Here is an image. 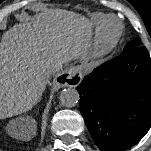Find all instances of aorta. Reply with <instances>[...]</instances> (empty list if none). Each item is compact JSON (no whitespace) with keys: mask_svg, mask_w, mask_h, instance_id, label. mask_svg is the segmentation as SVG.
<instances>
[{"mask_svg":"<svg viewBox=\"0 0 151 151\" xmlns=\"http://www.w3.org/2000/svg\"><path fill=\"white\" fill-rule=\"evenodd\" d=\"M59 99L63 106L72 108L79 102L80 95L74 88H65L61 91Z\"/></svg>","mask_w":151,"mask_h":151,"instance_id":"762f6f07","label":"aorta"}]
</instances>
